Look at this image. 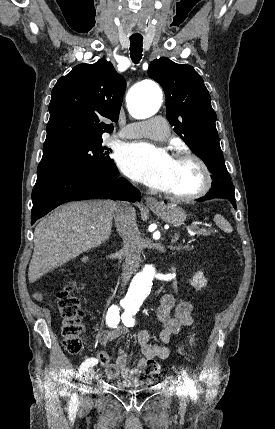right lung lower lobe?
Here are the masks:
<instances>
[{"label":"right lung lower lobe","mask_w":275,"mask_h":429,"mask_svg":"<svg viewBox=\"0 0 275 429\" xmlns=\"http://www.w3.org/2000/svg\"><path fill=\"white\" fill-rule=\"evenodd\" d=\"M118 170L75 171L37 182L32 191L31 224L55 207L74 200L112 199L140 201V192Z\"/></svg>","instance_id":"right-lung-lower-lobe-1"}]
</instances>
